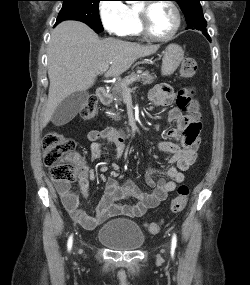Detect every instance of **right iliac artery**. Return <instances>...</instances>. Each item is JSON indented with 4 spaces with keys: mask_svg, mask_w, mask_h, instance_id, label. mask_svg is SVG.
Returning a JSON list of instances; mask_svg holds the SVG:
<instances>
[{
    "mask_svg": "<svg viewBox=\"0 0 250 285\" xmlns=\"http://www.w3.org/2000/svg\"><path fill=\"white\" fill-rule=\"evenodd\" d=\"M72 247V236L68 240V249L70 250Z\"/></svg>",
    "mask_w": 250,
    "mask_h": 285,
    "instance_id": "82829eb1",
    "label": "right iliac artery"
}]
</instances>
